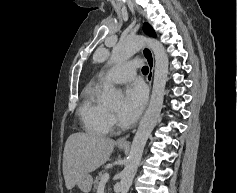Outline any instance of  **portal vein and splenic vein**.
Instances as JSON below:
<instances>
[{
	"instance_id": "obj_1",
	"label": "portal vein and splenic vein",
	"mask_w": 237,
	"mask_h": 193,
	"mask_svg": "<svg viewBox=\"0 0 237 193\" xmlns=\"http://www.w3.org/2000/svg\"><path fill=\"white\" fill-rule=\"evenodd\" d=\"M109 178H110L109 173H108V172H105L104 175H103L102 178H101L100 183H106V182L109 180Z\"/></svg>"
}]
</instances>
